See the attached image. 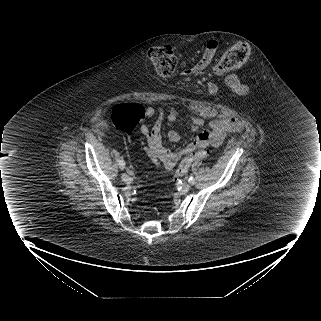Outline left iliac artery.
Here are the masks:
<instances>
[{"instance_id":"44dca946","label":"left iliac artery","mask_w":321,"mask_h":321,"mask_svg":"<svg viewBox=\"0 0 321 321\" xmlns=\"http://www.w3.org/2000/svg\"><path fill=\"white\" fill-rule=\"evenodd\" d=\"M188 182L190 184H194L195 180H194V178L192 176H190L189 179H188Z\"/></svg>"}]
</instances>
